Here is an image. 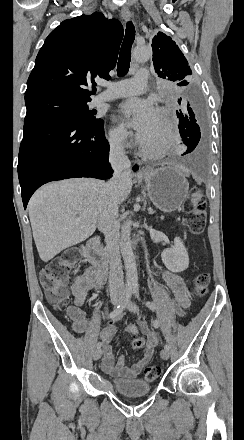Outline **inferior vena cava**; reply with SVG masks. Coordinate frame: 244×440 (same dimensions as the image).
<instances>
[{
	"label": "inferior vena cava",
	"mask_w": 244,
	"mask_h": 440,
	"mask_svg": "<svg viewBox=\"0 0 244 440\" xmlns=\"http://www.w3.org/2000/svg\"><path fill=\"white\" fill-rule=\"evenodd\" d=\"M109 162L114 170L112 180L104 186V196H102L99 208L97 226L105 236L106 250L109 254V290L111 296H123L124 282L122 262L119 250L120 226L118 224V198L117 190L121 180L129 176L130 160L124 154V150L118 142L113 144Z\"/></svg>",
	"instance_id": "inferior-vena-cava-1"
}]
</instances>
